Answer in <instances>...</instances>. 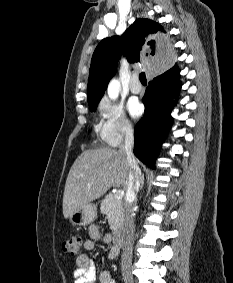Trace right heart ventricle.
<instances>
[{
  "label": "right heart ventricle",
  "mask_w": 233,
  "mask_h": 283,
  "mask_svg": "<svg viewBox=\"0 0 233 283\" xmlns=\"http://www.w3.org/2000/svg\"><path fill=\"white\" fill-rule=\"evenodd\" d=\"M95 132H96L97 134H99V135L101 136V138H102V125L97 124V125L95 126ZM102 139H103V138H102Z\"/></svg>",
  "instance_id": "1"
}]
</instances>
